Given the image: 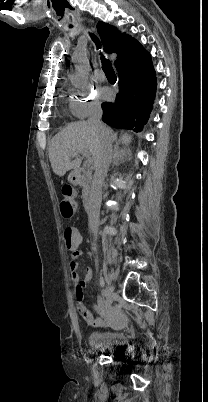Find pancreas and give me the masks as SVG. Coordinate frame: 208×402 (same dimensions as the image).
I'll return each instance as SVG.
<instances>
[{
	"instance_id": "obj_1",
	"label": "pancreas",
	"mask_w": 208,
	"mask_h": 402,
	"mask_svg": "<svg viewBox=\"0 0 208 402\" xmlns=\"http://www.w3.org/2000/svg\"><path fill=\"white\" fill-rule=\"evenodd\" d=\"M87 174H90V172H87ZM89 192H90V188L88 186V182H84L83 190H82V198H85V196H88Z\"/></svg>"
}]
</instances>
